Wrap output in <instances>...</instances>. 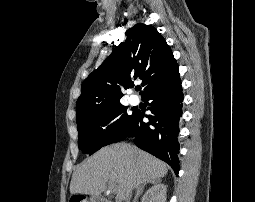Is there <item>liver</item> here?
<instances>
[{
	"label": "liver",
	"mask_w": 255,
	"mask_h": 202,
	"mask_svg": "<svg viewBox=\"0 0 255 202\" xmlns=\"http://www.w3.org/2000/svg\"><path fill=\"white\" fill-rule=\"evenodd\" d=\"M166 163L127 143L103 147L73 173L71 194L99 196L107 183L114 185L117 200L127 199L141 184L164 177Z\"/></svg>",
	"instance_id": "obj_1"
}]
</instances>
